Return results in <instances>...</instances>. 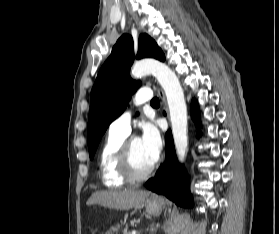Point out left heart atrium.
<instances>
[{"label":"left heart atrium","mask_w":279,"mask_h":234,"mask_svg":"<svg viewBox=\"0 0 279 234\" xmlns=\"http://www.w3.org/2000/svg\"><path fill=\"white\" fill-rule=\"evenodd\" d=\"M140 141L149 154L157 160L162 148V139L160 132L153 123L143 124Z\"/></svg>","instance_id":"1"}]
</instances>
